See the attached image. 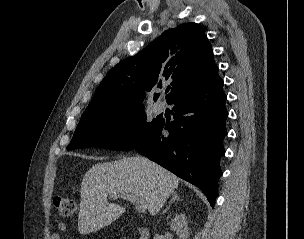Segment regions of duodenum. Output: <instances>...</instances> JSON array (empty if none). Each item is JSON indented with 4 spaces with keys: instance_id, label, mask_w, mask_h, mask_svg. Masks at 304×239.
<instances>
[{
    "instance_id": "obj_1",
    "label": "duodenum",
    "mask_w": 304,
    "mask_h": 239,
    "mask_svg": "<svg viewBox=\"0 0 304 239\" xmlns=\"http://www.w3.org/2000/svg\"><path fill=\"white\" fill-rule=\"evenodd\" d=\"M140 238L141 239H149V233L146 229L140 230Z\"/></svg>"
}]
</instances>
